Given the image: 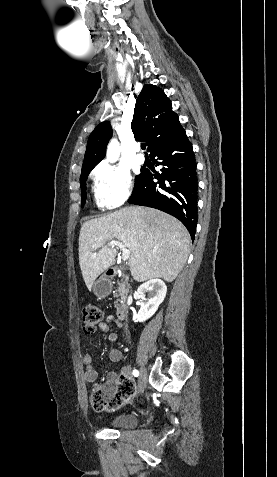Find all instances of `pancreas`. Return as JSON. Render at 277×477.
Wrapping results in <instances>:
<instances>
[{
    "label": "pancreas",
    "instance_id": "obj_1",
    "mask_svg": "<svg viewBox=\"0 0 277 477\" xmlns=\"http://www.w3.org/2000/svg\"><path fill=\"white\" fill-rule=\"evenodd\" d=\"M116 292H118V294H116V296H120V297H121V300L125 301L126 296H125V294H124L125 288H124L123 284L119 283V287H118V289L116 290ZM117 302H118V301H117ZM116 307H117V305H116Z\"/></svg>",
    "mask_w": 277,
    "mask_h": 477
}]
</instances>
